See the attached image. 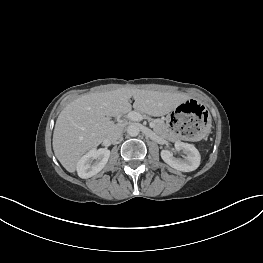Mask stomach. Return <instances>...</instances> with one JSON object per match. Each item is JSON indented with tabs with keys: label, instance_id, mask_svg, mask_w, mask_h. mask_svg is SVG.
<instances>
[{
	"label": "stomach",
	"instance_id": "1",
	"mask_svg": "<svg viewBox=\"0 0 263 263\" xmlns=\"http://www.w3.org/2000/svg\"><path fill=\"white\" fill-rule=\"evenodd\" d=\"M167 128L177 140L200 141L212 131L213 117L198 99L184 98L168 114Z\"/></svg>",
	"mask_w": 263,
	"mask_h": 263
}]
</instances>
